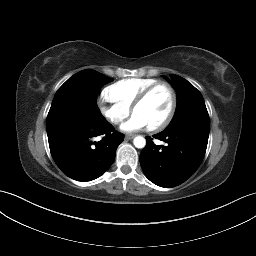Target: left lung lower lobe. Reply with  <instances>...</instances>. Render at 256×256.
<instances>
[{
	"mask_svg": "<svg viewBox=\"0 0 256 256\" xmlns=\"http://www.w3.org/2000/svg\"><path fill=\"white\" fill-rule=\"evenodd\" d=\"M209 131L183 126L160 132L154 138L167 146H157L152 138L140 154V164L146 177L154 184L171 188L186 181L200 166L208 143Z\"/></svg>",
	"mask_w": 256,
	"mask_h": 256,
	"instance_id": "0a47b994",
	"label": "left lung lower lobe"
}]
</instances>
